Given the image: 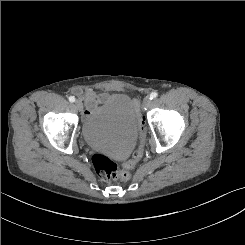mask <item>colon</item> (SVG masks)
<instances>
[{"instance_id":"colon-1","label":"colon","mask_w":245,"mask_h":245,"mask_svg":"<svg viewBox=\"0 0 245 245\" xmlns=\"http://www.w3.org/2000/svg\"><path fill=\"white\" fill-rule=\"evenodd\" d=\"M139 130L141 133V138L144 139L143 119H140ZM141 157H142V147L139 146L134 150L131 159L124 164L123 169H120L115 162H113L110 158H108L103 154L93 155L92 163L97 175L103 181H114V180L126 181L130 178L129 170L134 168V166L140 160Z\"/></svg>"}]
</instances>
